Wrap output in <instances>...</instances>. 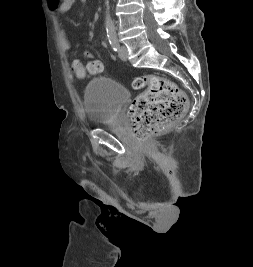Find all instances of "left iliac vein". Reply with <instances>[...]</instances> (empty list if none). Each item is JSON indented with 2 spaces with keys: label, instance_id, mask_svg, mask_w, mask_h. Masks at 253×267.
Returning <instances> with one entry per match:
<instances>
[{
  "label": "left iliac vein",
  "instance_id": "obj_1",
  "mask_svg": "<svg viewBox=\"0 0 253 267\" xmlns=\"http://www.w3.org/2000/svg\"><path fill=\"white\" fill-rule=\"evenodd\" d=\"M118 55L123 61H127V59H128L127 47L126 46H120L119 51H118Z\"/></svg>",
  "mask_w": 253,
  "mask_h": 267
}]
</instances>
